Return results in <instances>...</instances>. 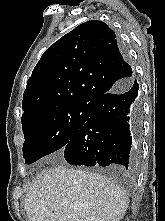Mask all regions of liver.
<instances>
[{"instance_id":"6515ba94","label":"liver","mask_w":165,"mask_h":221,"mask_svg":"<svg viewBox=\"0 0 165 221\" xmlns=\"http://www.w3.org/2000/svg\"><path fill=\"white\" fill-rule=\"evenodd\" d=\"M129 200L110 179L56 166L37 175L24 208L29 221H119Z\"/></svg>"}]
</instances>
